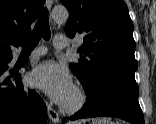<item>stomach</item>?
<instances>
[{"mask_svg": "<svg viewBox=\"0 0 156 124\" xmlns=\"http://www.w3.org/2000/svg\"><path fill=\"white\" fill-rule=\"evenodd\" d=\"M100 122H101V121H95V122H93L92 124H101Z\"/></svg>", "mask_w": 156, "mask_h": 124, "instance_id": "1", "label": "stomach"}]
</instances>
